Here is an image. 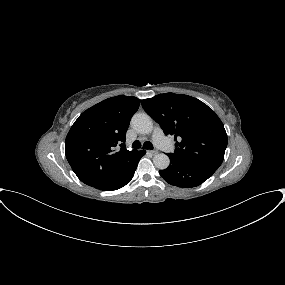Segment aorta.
I'll return each instance as SVG.
<instances>
[{"instance_id": "762f6f07", "label": "aorta", "mask_w": 285, "mask_h": 285, "mask_svg": "<svg viewBox=\"0 0 285 285\" xmlns=\"http://www.w3.org/2000/svg\"><path fill=\"white\" fill-rule=\"evenodd\" d=\"M131 126L140 134H149L153 130L151 118L145 113H136L131 119ZM153 163L160 170L166 169L170 164L169 157L164 153L156 154L153 158Z\"/></svg>"}]
</instances>
